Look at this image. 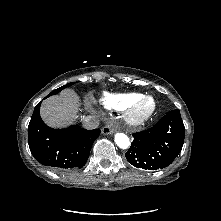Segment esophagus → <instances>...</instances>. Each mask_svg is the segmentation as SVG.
<instances>
[{"label":"esophagus","mask_w":221,"mask_h":221,"mask_svg":"<svg viewBox=\"0 0 221 221\" xmlns=\"http://www.w3.org/2000/svg\"><path fill=\"white\" fill-rule=\"evenodd\" d=\"M115 131H116V127L113 124L105 125L102 128V134H104V135L113 134V133H115Z\"/></svg>","instance_id":"1"}]
</instances>
